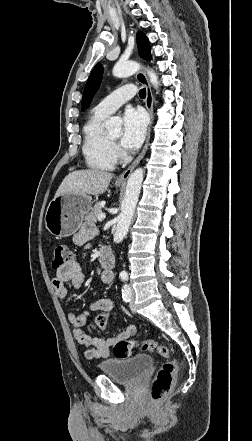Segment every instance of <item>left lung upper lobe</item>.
<instances>
[{
    "label": "left lung upper lobe",
    "mask_w": 252,
    "mask_h": 441,
    "mask_svg": "<svg viewBox=\"0 0 252 441\" xmlns=\"http://www.w3.org/2000/svg\"><path fill=\"white\" fill-rule=\"evenodd\" d=\"M137 43L141 57L146 60H151L149 41L142 32L137 33ZM102 74H103V67L101 64H97L94 67L85 85L83 99H82V110L88 108V106L90 105V102L94 94L96 93V91L100 86L102 80Z\"/></svg>",
    "instance_id": "1"
}]
</instances>
